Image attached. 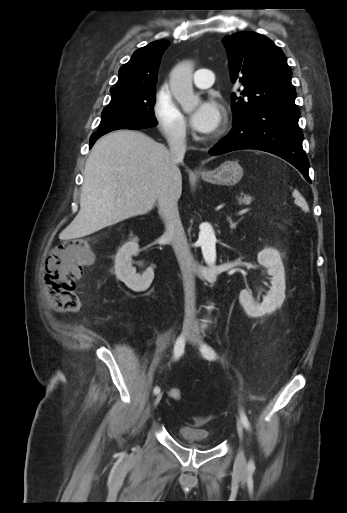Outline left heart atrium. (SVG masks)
<instances>
[{
	"instance_id": "obj_1",
	"label": "left heart atrium",
	"mask_w": 347,
	"mask_h": 513,
	"mask_svg": "<svg viewBox=\"0 0 347 513\" xmlns=\"http://www.w3.org/2000/svg\"><path fill=\"white\" fill-rule=\"evenodd\" d=\"M222 122V109L214 99H206L192 112L190 123L194 130L203 134H212Z\"/></svg>"
}]
</instances>
